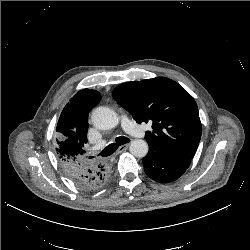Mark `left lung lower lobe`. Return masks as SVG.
I'll list each match as a JSON object with an SVG mask.
<instances>
[{
    "label": "left lung lower lobe",
    "instance_id": "obj_1",
    "mask_svg": "<svg viewBox=\"0 0 250 250\" xmlns=\"http://www.w3.org/2000/svg\"><path fill=\"white\" fill-rule=\"evenodd\" d=\"M142 161L146 175L160 183L177 180L191 163L190 159L169 157L151 149Z\"/></svg>",
    "mask_w": 250,
    "mask_h": 250
}]
</instances>
